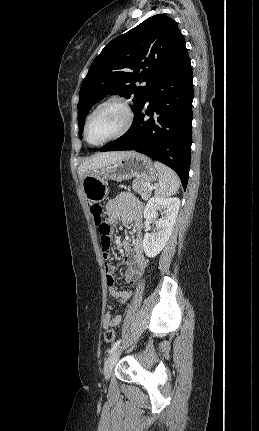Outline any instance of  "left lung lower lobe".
Masks as SVG:
<instances>
[{
  "instance_id": "obj_1",
  "label": "left lung lower lobe",
  "mask_w": 259,
  "mask_h": 431,
  "mask_svg": "<svg viewBox=\"0 0 259 431\" xmlns=\"http://www.w3.org/2000/svg\"><path fill=\"white\" fill-rule=\"evenodd\" d=\"M192 101L193 73L183 41L134 113L130 129L100 150H136L145 154L172 168L186 189L191 158Z\"/></svg>"
}]
</instances>
